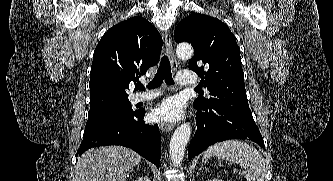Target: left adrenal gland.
<instances>
[{"label":"left adrenal gland","mask_w":333,"mask_h":181,"mask_svg":"<svg viewBox=\"0 0 333 181\" xmlns=\"http://www.w3.org/2000/svg\"><path fill=\"white\" fill-rule=\"evenodd\" d=\"M201 169H204V167L202 166L199 170H201Z\"/></svg>","instance_id":"left-adrenal-gland-1"}]
</instances>
